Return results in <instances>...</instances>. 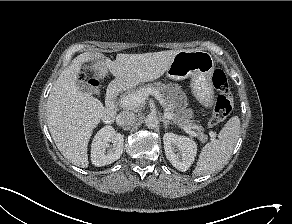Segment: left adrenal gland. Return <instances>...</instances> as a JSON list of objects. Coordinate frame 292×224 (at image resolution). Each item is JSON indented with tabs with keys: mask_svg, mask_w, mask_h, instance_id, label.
Instances as JSON below:
<instances>
[{
	"mask_svg": "<svg viewBox=\"0 0 292 224\" xmlns=\"http://www.w3.org/2000/svg\"><path fill=\"white\" fill-rule=\"evenodd\" d=\"M162 121L164 123V128L167 129L169 124H172L169 120H167L165 117L162 118Z\"/></svg>",
	"mask_w": 292,
	"mask_h": 224,
	"instance_id": "a2214340",
	"label": "left adrenal gland"
}]
</instances>
